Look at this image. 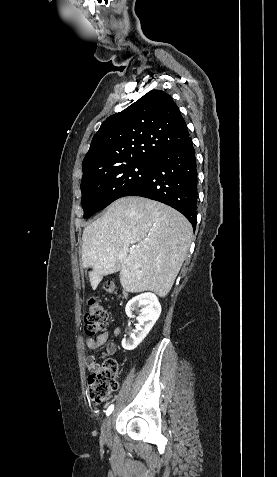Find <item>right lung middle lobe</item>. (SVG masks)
<instances>
[{
  "label": "right lung middle lobe",
  "mask_w": 277,
  "mask_h": 477,
  "mask_svg": "<svg viewBox=\"0 0 277 477\" xmlns=\"http://www.w3.org/2000/svg\"><path fill=\"white\" fill-rule=\"evenodd\" d=\"M153 162L136 161L105 169L83 171L81 192L84 218L124 197L150 172Z\"/></svg>",
  "instance_id": "right-lung-middle-lobe-1"
}]
</instances>
